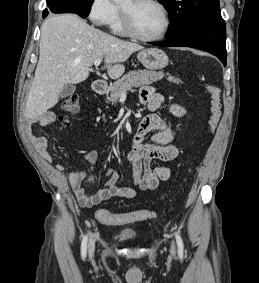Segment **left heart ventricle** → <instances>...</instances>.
Returning a JSON list of instances; mask_svg holds the SVG:
<instances>
[{
	"label": "left heart ventricle",
	"instance_id": "left-heart-ventricle-1",
	"mask_svg": "<svg viewBox=\"0 0 259 283\" xmlns=\"http://www.w3.org/2000/svg\"><path fill=\"white\" fill-rule=\"evenodd\" d=\"M120 5L130 10L134 25L142 35L157 36L164 30V14L157 5L133 0H122Z\"/></svg>",
	"mask_w": 259,
	"mask_h": 283
}]
</instances>
